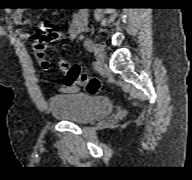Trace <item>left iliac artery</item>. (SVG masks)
<instances>
[{"mask_svg":"<svg viewBox=\"0 0 192 180\" xmlns=\"http://www.w3.org/2000/svg\"><path fill=\"white\" fill-rule=\"evenodd\" d=\"M84 46L88 51H92L93 49V41L90 38H85L84 40Z\"/></svg>","mask_w":192,"mask_h":180,"instance_id":"1","label":"left iliac artery"}]
</instances>
